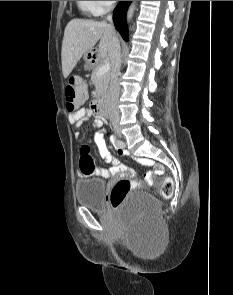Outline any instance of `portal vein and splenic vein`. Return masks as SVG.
Returning <instances> with one entry per match:
<instances>
[{
	"mask_svg": "<svg viewBox=\"0 0 233 295\" xmlns=\"http://www.w3.org/2000/svg\"><path fill=\"white\" fill-rule=\"evenodd\" d=\"M109 70H110V64L105 63V64L101 65V67L98 69L97 74L103 75L104 73L108 72Z\"/></svg>",
	"mask_w": 233,
	"mask_h": 295,
	"instance_id": "obj_1",
	"label": "portal vein and splenic vein"
}]
</instances>
